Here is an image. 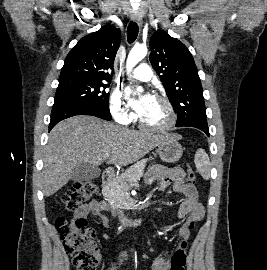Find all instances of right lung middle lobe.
Returning a JSON list of instances; mask_svg holds the SVG:
<instances>
[{
	"label": "right lung middle lobe",
	"mask_w": 267,
	"mask_h": 270,
	"mask_svg": "<svg viewBox=\"0 0 267 270\" xmlns=\"http://www.w3.org/2000/svg\"><path fill=\"white\" fill-rule=\"evenodd\" d=\"M109 85L104 80L85 78L59 79L54 104H71L77 106H109Z\"/></svg>",
	"instance_id": "obj_1"
}]
</instances>
